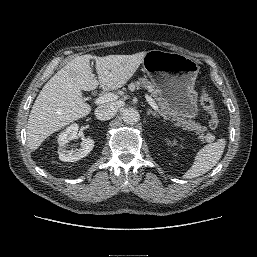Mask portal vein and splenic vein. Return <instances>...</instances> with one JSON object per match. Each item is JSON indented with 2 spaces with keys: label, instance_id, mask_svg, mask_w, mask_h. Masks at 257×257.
<instances>
[{
  "label": "portal vein and splenic vein",
  "instance_id": "18ae733b",
  "mask_svg": "<svg viewBox=\"0 0 257 257\" xmlns=\"http://www.w3.org/2000/svg\"><path fill=\"white\" fill-rule=\"evenodd\" d=\"M117 95L113 94V93H107V94H104L100 97H98L96 100H95V104L97 105H100V104H104V103H108V102H111V101H114L117 99ZM145 98L146 100L148 101L149 105L157 112H159V107L158 105L156 104V102L154 101V99L149 96V95H145Z\"/></svg>",
  "mask_w": 257,
  "mask_h": 257
}]
</instances>
